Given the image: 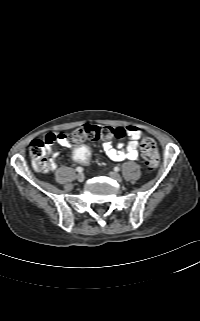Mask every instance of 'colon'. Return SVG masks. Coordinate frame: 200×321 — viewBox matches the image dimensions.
Returning <instances> with one entry per match:
<instances>
[{"instance_id":"1","label":"colon","mask_w":200,"mask_h":321,"mask_svg":"<svg viewBox=\"0 0 200 321\" xmlns=\"http://www.w3.org/2000/svg\"><path fill=\"white\" fill-rule=\"evenodd\" d=\"M124 135L122 128L110 126L84 125L75 129L68 135L70 141L76 144L71 149L70 161L75 166L87 163L90 158V149L85 144H77L85 140H99L121 138ZM53 135H47L43 139H35L31 142L29 153L33 166L37 171L47 172L51 169V161L47 157V146L54 141ZM141 156L148 170H153L159 163V153L152 139H145L141 144Z\"/></svg>"}]
</instances>
